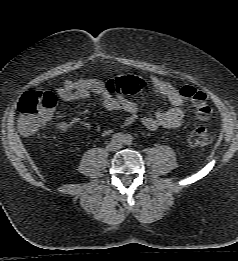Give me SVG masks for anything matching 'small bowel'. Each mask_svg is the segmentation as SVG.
<instances>
[{
	"mask_svg": "<svg viewBox=\"0 0 238 261\" xmlns=\"http://www.w3.org/2000/svg\"><path fill=\"white\" fill-rule=\"evenodd\" d=\"M149 80L152 84L154 92L163 96L171 105L164 111H156L152 116H140L137 103L118 94H111L106 89V84L95 78H85L76 81L66 80L53 93L58 101H78L83 100L91 95L99 97L100 106L107 111H122L126 116L121 122L123 127H127L140 120L141 123L149 130L158 128H177L185 122L186 115L183 109L185 98L180 91L168 82L156 76H150ZM51 118V110L47 115L46 122ZM56 126L61 130L73 128L89 129L90 125L80 117H71L66 121H59ZM112 132L110 128L104 130V134L108 135Z\"/></svg>",
	"mask_w": 238,
	"mask_h": 261,
	"instance_id": "obj_1",
	"label": "small bowel"
}]
</instances>
